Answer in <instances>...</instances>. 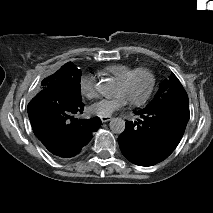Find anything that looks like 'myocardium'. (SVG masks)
<instances>
[{
  "instance_id": "obj_1",
  "label": "myocardium",
  "mask_w": 213,
  "mask_h": 213,
  "mask_svg": "<svg viewBox=\"0 0 213 213\" xmlns=\"http://www.w3.org/2000/svg\"><path fill=\"white\" fill-rule=\"evenodd\" d=\"M122 83L123 90L129 95L133 100L144 98L151 89L152 78L149 73L145 70L138 69L133 71V73L125 79Z\"/></svg>"
}]
</instances>
